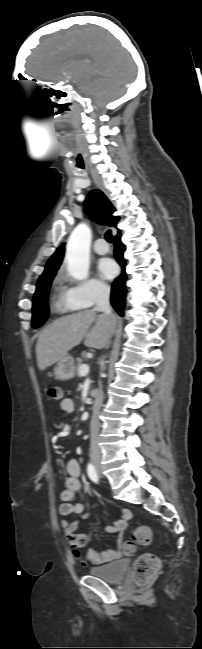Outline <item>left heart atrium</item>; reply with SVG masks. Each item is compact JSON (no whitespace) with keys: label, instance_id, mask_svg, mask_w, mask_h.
Listing matches in <instances>:
<instances>
[{"label":"left heart atrium","instance_id":"1","mask_svg":"<svg viewBox=\"0 0 202 649\" xmlns=\"http://www.w3.org/2000/svg\"><path fill=\"white\" fill-rule=\"evenodd\" d=\"M99 274L105 279H111L115 276L117 268L115 263L110 259H103L98 265Z\"/></svg>","mask_w":202,"mask_h":649}]
</instances>
